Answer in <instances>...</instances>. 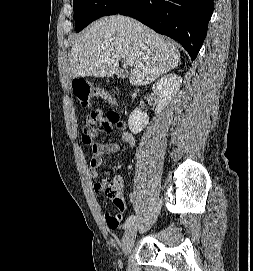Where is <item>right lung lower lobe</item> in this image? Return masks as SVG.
I'll use <instances>...</instances> for the list:
<instances>
[{
    "mask_svg": "<svg viewBox=\"0 0 253 271\" xmlns=\"http://www.w3.org/2000/svg\"><path fill=\"white\" fill-rule=\"evenodd\" d=\"M212 12L213 0H125L116 14L135 18L177 40L194 60Z\"/></svg>",
    "mask_w": 253,
    "mask_h": 271,
    "instance_id": "1",
    "label": "right lung lower lobe"
}]
</instances>
